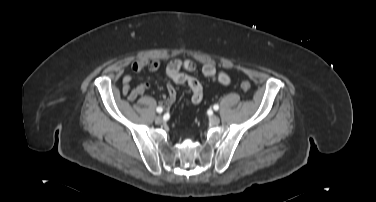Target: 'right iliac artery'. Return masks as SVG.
Instances as JSON below:
<instances>
[{
    "instance_id": "82829eb1",
    "label": "right iliac artery",
    "mask_w": 376,
    "mask_h": 202,
    "mask_svg": "<svg viewBox=\"0 0 376 202\" xmlns=\"http://www.w3.org/2000/svg\"><path fill=\"white\" fill-rule=\"evenodd\" d=\"M156 111H157L158 113H162L163 108H162V107H157Z\"/></svg>"
}]
</instances>
